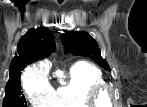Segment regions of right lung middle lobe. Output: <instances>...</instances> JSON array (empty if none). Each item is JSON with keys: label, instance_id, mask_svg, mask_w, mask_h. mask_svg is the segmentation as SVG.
<instances>
[{"label": "right lung middle lobe", "instance_id": "right-lung-middle-lobe-1", "mask_svg": "<svg viewBox=\"0 0 147 107\" xmlns=\"http://www.w3.org/2000/svg\"><path fill=\"white\" fill-rule=\"evenodd\" d=\"M25 67L26 65L21 67L15 75L10 76L9 81L6 84L3 107H26V100L22 94L20 83L21 71Z\"/></svg>", "mask_w": 147, "mask_h": 107}]
</instances>
